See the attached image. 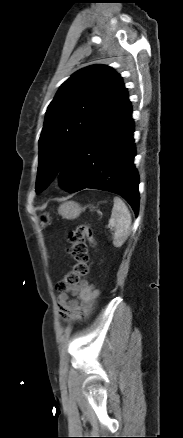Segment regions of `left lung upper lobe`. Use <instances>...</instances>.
<instances>
[{
	"label": "left lung upper lobe",
	"mask_w": 183,
	"mask_h": 438,
	"mask_svg": "<svg viewBox=\"0 0 183 438\" xmlns=\"http://www.w3.org/2000/svg\"><path fill=\"white\" fill-rule=\"evenodd\" d=\"M128 99L111 67L92 65L73 74L50 103L39 139L36 192L43 191L77 146Z\"/></svg>",
	"instance_id": "left-lung-upper-lobe-1"
}]
</instances>
